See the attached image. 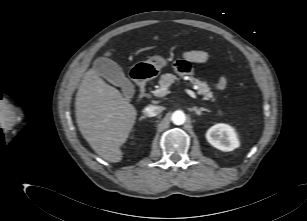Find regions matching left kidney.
<instances>
[{
	"instance_id": "1",
	"label": "left kidney",
	"mask_w": 307,
	"mask_h": 221,
	"mask_svg": "<svg viewBox=\"0 0 307 221\" xmlns=\"http://www.w3.org/2000/svg\"><path fill=\"white\" fill-rule=\"evenodd\" d=\"M207 141L222 151H232L239 146V141L232 127L227 124H216L208 129Z\"/></svg>"
}]
</instances>
